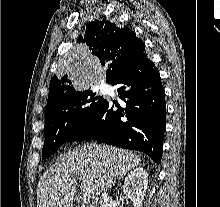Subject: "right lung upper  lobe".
Returning <instances> with one entry per match:
<instances>
[{
  "instance_id": "right-lung-upper-lobe-1",
  "label": "right lung upper lobe",
  "mask_w": 220,
  "mask_h": 207,
  "mask_svg": "<svg viewBox=\"0 0 220 207\" xmlns=\"http://www.w3.org/2000/svg\"><path fill=\"white\" fill-rule=\"evenodd\" d=\"M77 42L86 44L90 53L96 56L102 65H106L107 82H111L125 65L145 50V44L136 37L135 32L107 20L88 23L84 36H80ZM76 91L67 75L61 78L54 75L50 81L45 113L63 97Z\"/></svg>"
}]
</instances>
